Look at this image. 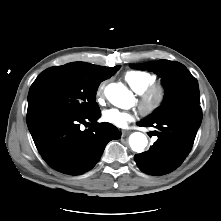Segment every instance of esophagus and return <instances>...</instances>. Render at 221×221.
I'll return each mask as SVG.
<instances>
[{
    "label": "esophagus",
    "mask_w": 221,
    "mask_h": 221,
    "mask_svg": "<svg viewBox=\"0 0 221 221\" xmlns=\"http://www.w3.org/2000/svg\"><path fill=\"white\" fill-rule=\"evenodd\" d=\"M129 133V131H122V137L127 136Z\"/></svg>",
    "instance_id": "34e87169"
}]
</instances>
